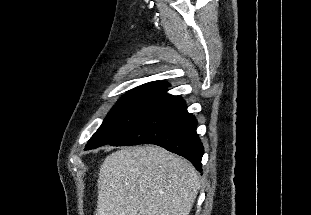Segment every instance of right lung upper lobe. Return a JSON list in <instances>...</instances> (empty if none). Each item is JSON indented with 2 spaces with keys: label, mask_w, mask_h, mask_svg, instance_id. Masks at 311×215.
Returning <instances> with one entry per match:
<instances>
[{
  "label": "right lung upper lobe",
  "mask_w": 311,
  "mask_h": 215,
  "mask_svg": "<svg viewBox=\"0 0 311 215\" xmlns=\"http://www.w3.org/2000/svg\"><path fill=\"white\" fill-rule=\"evenodd\" d=\"M142 86H168V84L166 82L153 81L143 84Z\"/></svg>",
  "instance_id": "obj_1"
}]
</instances>
